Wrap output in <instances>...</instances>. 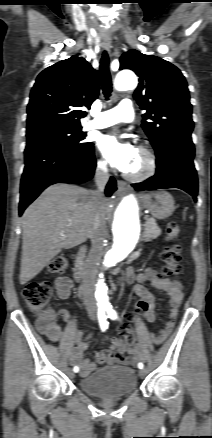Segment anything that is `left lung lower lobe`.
<instances>
[{
	"mask_svg": "<svg viewBox=\"0 0 212 438\" xmlns=\"http://www.w3.org/2000/svg\"><path fill=\"white\" fill-rule=\"evenodd\" d=\"M155 176L133 184L138 191L179 188L197 201L198 178L194 167V144L191 136L167 139L155 148Z\"/></svg>",
	"mask_w": 212,
	"mask_h": 438,
	"instance_id": "0a47b994",
	"label": "left lung lower lobe"
}]
</instances>
